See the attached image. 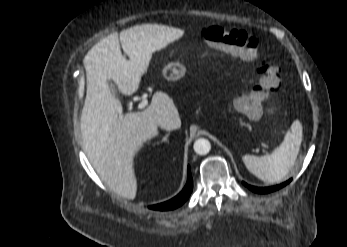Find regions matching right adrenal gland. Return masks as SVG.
<instances>
[{
	"label": "right adrenal gland",
	"mask_w": 347,
	"mask_h": 247,
	"mask_svg": "<svg viewBox=\"0 0 347 247\" xmlns=\"http://www.w3.org/2000/svg\"><path fill=\"white\" fill-rule=\"evenodd\" d=\"M168 137H169V133H167L159 143L167 142Z\"/></svg>",
	"instance_id": "right-adrenal-gland-1"
}]
</instances>
